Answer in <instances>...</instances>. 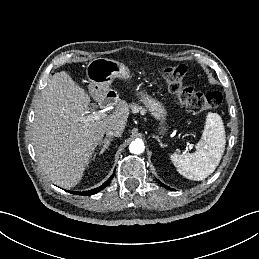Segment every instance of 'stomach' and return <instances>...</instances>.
<instances>
[{"instance_id": "stomach-1", "label": "stomach", "mask_w": 259, "mask_h": 259, "mask_svg": "<svg viewBox=\"0 0 259 259\" xmlns=\"http://www.w3.org/2000/svg\"><path fill=\"white\" fill-rule=\"evenodd\" d=\"M86 75L90 82L89 91L93 95L106 92L116 78L129 81L132 77L130 69L126 65L107 58L91 60L87 65ZM136 95L139 101L144 104L149 113L158 122L159 134L164 135L168 130V114L165 106L144 91H138Z\"/></svg>"}]
</instances>
